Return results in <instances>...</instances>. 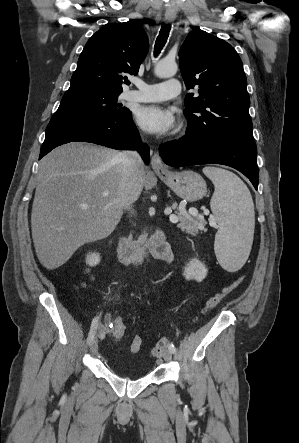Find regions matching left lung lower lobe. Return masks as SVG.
<instances>
[{
	"instance_id": "left-lung-lower-lobe-1",
	"label": "left lung lower lobe",
	"mask_w": 299,
	"mask_h": 443,
	"mask_svg": "<svg viewBox=\"0 0 299 443\" xmlns=\"http://www.w3.org/2000/svg\"><path fill=\"white\" fill-rule=\"evenodd\" d=\"M159 154L169 166L222 164L243 173L258 188L257 148L253 137L202 138L187 134L160 146Z\"/></svg>"
}]
</instances>
